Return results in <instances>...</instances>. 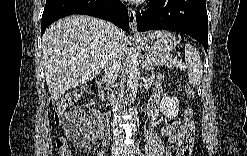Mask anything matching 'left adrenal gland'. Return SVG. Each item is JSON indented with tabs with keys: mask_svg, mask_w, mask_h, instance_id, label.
Returning a JSON list of instances; mask_svg holds the SVG:
<instances>
[{
	"mask_svg": "<svg viewBox=\"0 0 247 156\" xmlns=\"http://www.w3.org/2000/svg\"><path fill=\"white\" fill-rule=\"evenodd\" d=\"M142 68L145 70V71H152L153 70V67H151L150 65H148V63L146 61H143V65H142Z\"/></svg>",
	"mask_w": 247,
	"mask_h": 156,
	"instance_id": "1",
	"label": "left adrenal gland"
}]
</instances>
